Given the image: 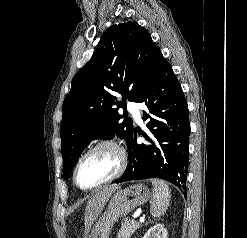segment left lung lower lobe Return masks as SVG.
<instances>
[{"label":"left lung lower lobe","instance_id":"1","mask_svg":"<svg viewBox=\"0 0 247 238\" xmlns=\"http://www.w3.org/2000/svg\"><path fill=\"white\" fill-rule=\"evenodd\" d=\"M138 103H144L148 113L150 136L147 144H137V130L128 142L129 164L115 183L160 178L173 183L183 192L188 172L190 123L188 105L181 85L171 65L162 60Z\"/></svg>","mask_w":247,"mask_h":238}]
</instances>
